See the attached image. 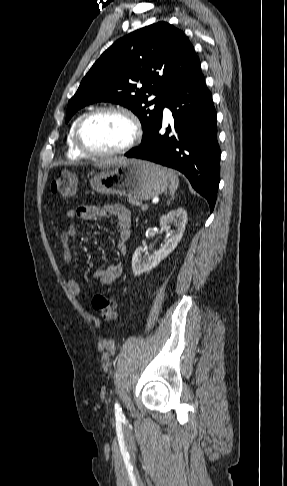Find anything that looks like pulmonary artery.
Wrapping results in <instances>:
<instances>
[{"label":"pulmonary artery","instance_id":"pulmonary-artery-1","mask_svg":"<svg viewBox=\"0 0 287 486\" xmlns=\"http://www.w3.org/2000/svg\"><path fill=\"white\" fill-rule=\"evenodd\" d=\"M164 113H165V117L167 119H169L170 118V112H169V110L168 109H165Z\"/></svg>","mask_w":287,"mask_h":486}]
</instances>
